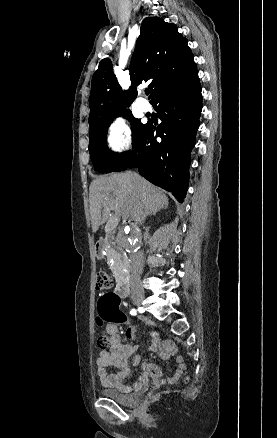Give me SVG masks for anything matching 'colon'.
Here are the masks:
<instances>
[{
    "label": "colon",
    "mask_w": 277,
    "mask_h": 438,
    "mask_svg": "<svg viewBox=\"0 0 277 438\" xmlns=\"http://www.w3.org/2000/svg\"><path fill=\"white\" fill-rule=\"evenodd\" d=\"M95 282H96V290L102 291V290L108 289V285L113 283V279L106 271L99 270V271H97V273L95 275ZM104 324H105V321H99L97 318V327H101ZM149 333L152 335L158 334L154 330H149ZM110 340H111V336L109 334L101 333L96 339L97 347L99 349H103L104 347H106L108 345Z\"/></svg>",
    "instance_id": "obj_1"
}]
</instances>
